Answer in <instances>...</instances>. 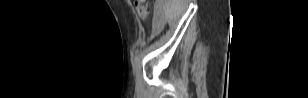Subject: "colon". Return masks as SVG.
I'll use <instances>...</instances> for the list:
<instances>
[{
    "label": "colon",
    "instance_id": "colon-1",
    "mask_svg": "<svg viewBox=\"0 0 308 98\" xmlns=\"http://www.w3.org/2000/svg\"><path fill=\"white\" fill-rule=\"evenodd\" d=\"M135 8L138 13V15L145 19L148 17L149 8L145 0H138L135 2Z\"/></svg>",
    "mask_w": 308,
    "mask_h": 98
}]
</instances>
